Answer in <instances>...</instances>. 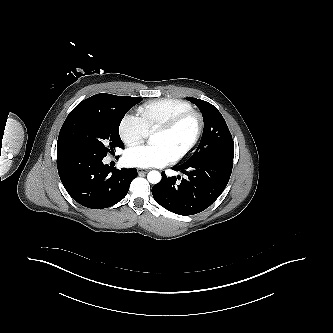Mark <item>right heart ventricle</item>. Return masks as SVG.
Wrapping results in <instances>:
<instances>
[{
  "label": "right heart ventricle",
  "mask_w": 333,
  "mask_h": 333,
  "mask_svg": "<svg viewBox=\"0 0 333 333\" xmlns=\"http://www.w3.org/2000/svg\"><path fill=\"white\" fill-rule=\"evenodd\" d=\"M191 109L192 105L185 100L162 98L147 101L137 111L148 132H153L171 118Z\"/></svg>",
  "instance_id": "right-heart-ventricle-1"
}]
</instances>
